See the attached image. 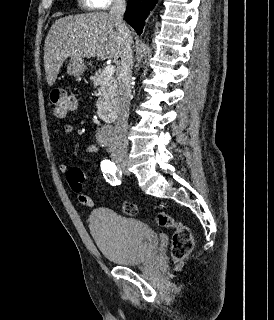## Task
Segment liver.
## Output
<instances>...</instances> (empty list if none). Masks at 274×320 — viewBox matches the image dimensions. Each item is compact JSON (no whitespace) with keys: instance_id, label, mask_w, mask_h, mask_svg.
<instances>
[{"instance_id":"6515ba94","label":"liver","mask_w":274,"mask_h":320,"mask_svg":"<svg viewBox=\"0 0 274 320\" xmlns=\"http://www.w3.org/2000/svg\"><path fill=\"white\" fill-rule=\"evenodd\" d=\"M108 12L65 16L51 26L44 44V68L48 86H54L66 58L118 60L122 42Z\"/></svg>"}]
</instances>
